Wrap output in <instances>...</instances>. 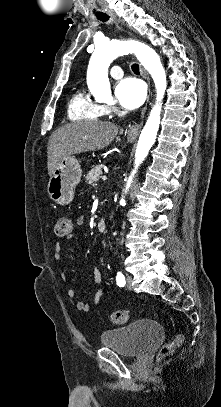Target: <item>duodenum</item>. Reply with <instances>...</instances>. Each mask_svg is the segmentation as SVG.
<instances>
[{"mask_svg":"<svg viewBox=\"0 0 221 407\" xmlns=\"http://www.w3.org/2000/svg\"><path fill=\"white\" fill-rule=\"evenodd\" d=\"M106 228V221L104 219H100L97 222V230L98 232L102 233L105 231Z\"/></svg>","mask_w":221,"mask_h":407,"instance_id":"obj_1","label":"duodenum"}]
</instances>
